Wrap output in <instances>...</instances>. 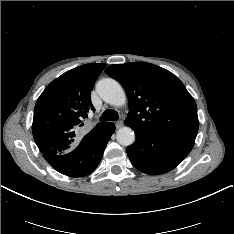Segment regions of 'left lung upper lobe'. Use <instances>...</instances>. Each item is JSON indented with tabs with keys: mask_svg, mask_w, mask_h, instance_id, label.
I'll return each instance as SVG.
<instances>
[{
	"mask_svg": "<svg viewBox=\"0 0 234 234\" xmlns=\"http://www.w3.org/2000/svg\"><path fill=\"white\" fill-rule=\"evenodd\" d=\"M105 72L126 90L125 123L150 131L197 133V106L184 84L171 72L146 62L115 64Z\"/></svg>",
	"mask_w": 234,
	"mask_h": 234,
	"instance_id": "5c2ea615",
	"label": "left lung upper lobe"
}]
</instances>
